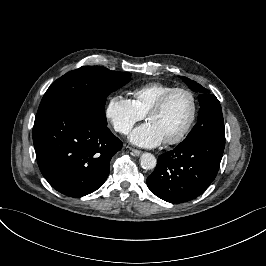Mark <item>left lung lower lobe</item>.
Returning a JSON list of instances; mask_svg holds the SVG:
<instances>
[{"mask_svg": "<svg viewBox=\"0 0 266 266\" xmlns=\"http://www.w3.org/2000/svg\"><path fill=\"white\" fill-rule=\"evenodd\" d=\"M225 138L206 136L158 157L147 186L159 198L183 203L201 195L215 179L223 156Z\"/></svg>", "mask_w": 266, "mask_h": 266, "instance_id": "1", "label": "left lung lower lobe"}]
</instances>
